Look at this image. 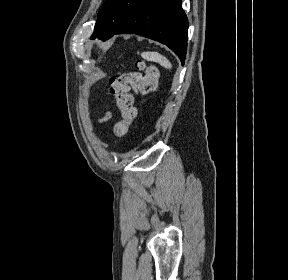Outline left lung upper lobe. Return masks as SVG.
<instances>
[{
  "label": "left lung upper lobe",
  "mask_w": 288,
  "mask_h": 280,
  "mask_svg": "<svg viewBox=\"0 0 288 280\" xmlns=\"http://www.w3.org/2000/svg\"><path fill=\"white\" fill-rule=\"evenodd\" d=\"M141 0H106L98 14L91 39L103 41L112 37L127 14Z\"/></svg>",
  "instance_id": "1"
}]
</instances>
